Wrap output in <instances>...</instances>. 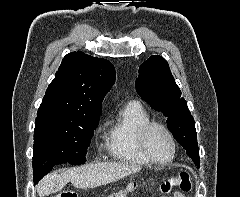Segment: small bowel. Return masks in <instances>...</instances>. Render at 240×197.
<instances>
[{
	"label": "small bowel",
	"mask_w": 240,
	"mask_h": 197,
	"mask_svg": "<svg viewBox=\"0 0 240 197\" xmlns=\"http://www.w3.org/2000/svg\"><path fill=\"white\" fill-rule=\"evenodd\" d=\"M173 197H186V196L178 193V194H175Z\"/></svg>",
	"instance_id": "small-bowel-1"
}]
</instances>
